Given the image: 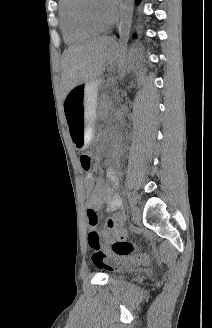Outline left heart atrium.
Returning <instances> with one entry per match:
<instances>
[{"instance_id":"1","label":"left heart atrium","mask_w":212,"mask_h":328,"mask_svg":"<svg viewBox=\"0 0 212 328\" xmlns=\"http://www.w3.org/2000/svg\"><path fill=\"white\" fill-rule=\"evenodd\" d=\"M104 3L111 9L114 10L117 4V0H104Z\"/></svg>"}]
</instances>
